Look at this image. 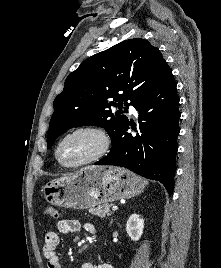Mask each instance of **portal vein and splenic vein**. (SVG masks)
<instances>
[{
  "label": "portal vein and splenic vein",
  "instance_id": "obj_1",
  "mask_svg": "<svg viewBox=\"0 0 221 268\" xmlns=\"http://www.w3.org/2000/svg\"><path fill=\"white\" fill-rule=\"evenodd\" d=\"M112 210H113V211H116V210H118V207H117V206H113V207H112Z\"/></svg>",
  "mask_w": 221,
  "mask_h": 268
}]
</instances>
